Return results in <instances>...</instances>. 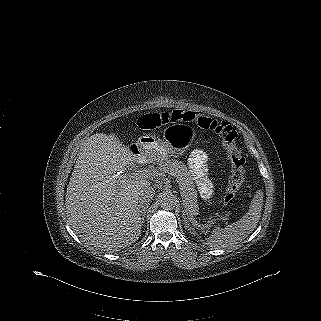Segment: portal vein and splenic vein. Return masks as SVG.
I'll return each instance as SVG.
<instances>
[{
	"label": "portal vein and splenic vein",
	"instance_id": "1",
	"mask_svg": "<svg viewBox=\"0 0 321 321\" xmlns=\"http://www.w3.org/2000/svg\"><path fill=\"white\" fill-rule=\"evenodd\" d=\"M133 176H140V177H158V176H162V173H158L157 171L154 170H139L136 171L134 173H132Z\"/></svg>",
	"mask_w": 321,
	"mask_h": 321
}]
</instances>
